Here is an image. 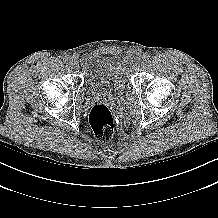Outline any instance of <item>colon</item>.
<instances>
[{"label": "colon", "mask_w": 218, "mask_h": 218, "mask_svg": "<svg viewBox=\"0 0 218 218\" xmlns=\"http://www.w3.org/2000/svg\"><path fill=\"white\" fill-rule=\"evenodd\" d=\"M89 123L97 141L108 142L114 132V117L109 107L96 104L89 112Z\"/></svg>", "instance_id": "1"}]
</instances>
